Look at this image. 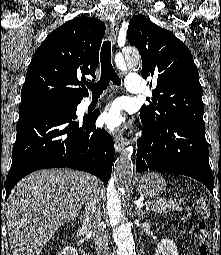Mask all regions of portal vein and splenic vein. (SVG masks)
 <instances>
[{"label":"portal vein and splenic vein","instance_id":"18ae733b","mask_svg":"<svg viewBox=\"0 0 221 255\" xmlns=\"http://www.w3.org/2000/svg\"><path fill=\"white\" fill-rule=\"evenodd\" d=\"M143 205H144L143 202H140V203L137 204L138 207H142ZM146 210H148V205L146 207Z\"/></svg>","mask_w":221,"mask_h":255}]
</instances>
